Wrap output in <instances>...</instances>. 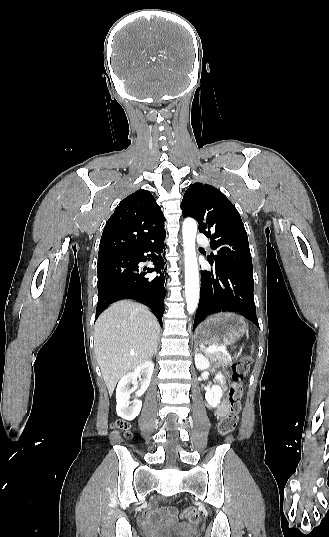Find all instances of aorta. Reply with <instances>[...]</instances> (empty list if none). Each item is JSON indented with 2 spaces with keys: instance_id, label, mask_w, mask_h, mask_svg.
Here are the masks:
<instances>
[{
  "instance_id": "aorta-1",
  "label": "aorta",
  "mask_w": 329,
  "mask_h": 537,
  "mask_svg": "<svg viewBox=\"0 0 329 537\" xmlns=\"http://www.w3.org/2000/svg\"><path fill=\"white\" fill-rule=\"evenodd\" d=\"M197 222L186 218L183 222V247L185 257V299L187 311L192 314L199 303L200 279L196 256Z\"/></svg>"
}]
</instances>
